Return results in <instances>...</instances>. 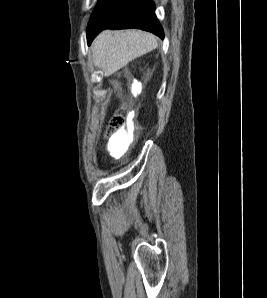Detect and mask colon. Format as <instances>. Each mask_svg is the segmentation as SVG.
Returning <instances> with one entry per match:
<instances>
[{
	"label": "colon",
	"mask_w": 267,
	"mask_h": 298,
	"mask_svg": "<svg viewBox=\"0 0 267 298\" xmlns=\"http://www.w3.org/2000/svg\"><path fill=\"white\" fill-rule=\"evenodd\" d=\"M126 123V117L122 111L113 114L110 119L109 129L116 130L122 128Z\"/></svg>",
	"instance_id": "obj_1"
}]
</instances>
